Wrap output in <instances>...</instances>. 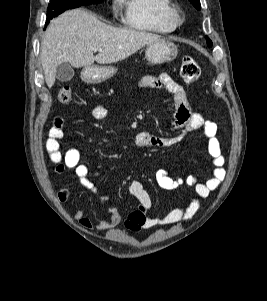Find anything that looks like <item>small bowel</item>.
<instances>
[{"label":"small bowel","mask_w":267,"mask_h":301,"mask_svg":"<svg viewBox=\"0 0 267 301\" xmlns=\"http://www.w3.org/2000/svg\"><path fill=\"white\" fill-rule=\"evenodd\" d=\"M140 88L166 89L173 98L175 104V115L172 129L177 131L176 135L167 138L156 137L148 132H140L135 139V145L139 148H166L182 141L189 133L203 129L207 142L208 153L212 160L213 171L211 177L205 182H199L193 176H172L167 170L160 169L156 172L155 178L159 187L165 190H175L182 186H193L196 197L186 206L178 207L162 217H148L146 212L152 207V200L144 189L143 184L135 180L130 185V193L138 200V208L132 212L125 221L126 229L138 231L149 229L156 225L174 224L192 218L200 209L201 201L216 190L226 176L224 168L225 159L222 155L220 143L217 139V125L206 120L200 113L192 111L187 94L184 88L168 74L159 76H144L138 83ZM107 111L102 105H97L93 109V115L97 119L105 118ZM64 136V123L61 118H56L49 130L46 140V150L53 163L56 164V173L64 174L66 169H72L82 186L93 193H98L97 187L92 180L88 167L80 162V153L77 148H70L65 152L60 151V140ZM99 172L95 173L98 177ZM70 191L62 188L57 192L60 202L69 199ZM102 200H107L108 196L99 195ZM73 218L79 224L92 229V221L84 216L82 210L73 208ZM121 223V215L116 209H110L105 219L99 221L97 226L101 229L112 230Z\"/></svg>","instance_id":"c3829d8e"}]
</instances>
